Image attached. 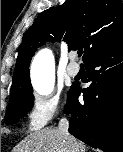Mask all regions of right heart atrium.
<instances>
[{
  "label": "right heart atrium",
  "instance_id": "obj_1",
  "mask_svg": "<svg viewBox=\"0 0 123 152\" xmlns=\"http://www.w3.org/2000/svg\"><path fill=\"white\" fill-rule=\"evenodd\" d=\"M62 104L59 96L34 97L25 114L28 126L31 130H39L45 127L54 117L59 115Z\"/></svg>",
  "mask_w": 123,
  "mask_h": 152
}]
</instances>
